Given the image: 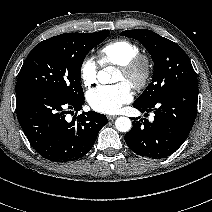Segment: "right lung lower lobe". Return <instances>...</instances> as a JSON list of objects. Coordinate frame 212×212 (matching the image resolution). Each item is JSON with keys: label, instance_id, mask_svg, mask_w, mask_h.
Here are the masks:
<instances>
[{"label": "right lung lower lobe", "instance_id": "right-lung-lower-lobe-1", "mask_svg": "<svg viewBox=\"0 0 212 212\" xmlns=\"http://www.w3.org/2000/svg\"><path fill=\"white\" fill-rule=\"evenodd\" d=\"M84 97L67 99L47 90L16 93L18 121L32 147L54 162L77 160L93 147L107 117L94 111L83 112L67 122L65 114L79 111Z\"/></svg>", "mask_w": 212, "mask_h": 212}]
</instances>
